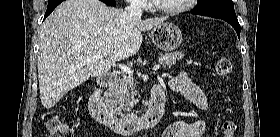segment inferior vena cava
I'll list each match as a JSON object with an SVG mask.
<instances>
[{
  "label": "inferior vena cava",
  "instance_id": "1",
  "mask_svg": "<svg viewBox=\"0 0 280 137\" xmlns=\"http://www.w3.org/2000/svg\"><path fill=\"white\" fill-rule=\"evenodd\" d=\"M125 11L132 17L141 18V4L137 0H132L130 5L125 7Z\"/></svg>",
  "mask_w": 280,
  "mask_h": 137
}]
</instances>
